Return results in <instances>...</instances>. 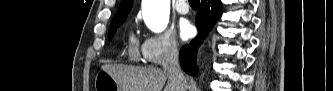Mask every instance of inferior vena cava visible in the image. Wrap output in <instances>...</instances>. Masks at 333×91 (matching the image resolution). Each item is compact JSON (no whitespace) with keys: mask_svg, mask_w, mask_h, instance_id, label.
Returning <instances> with one entry per match:
<instances>
[{"mask_svg":"<svg viewBox=\"0 0 333 91\" xmlns=\"http://www.w3.org/2000/svg\"><path fill=\"white\" fill-rule=\"evenodd\" d=\"M178 48L176 43H172L166 50L165 60L163 62V69L169 74V78L177 81L180 85V91H184L186 79L181 71L178 61Z\"/></svg>","mask_w":333,"mask_h":91,"instance_id":"1","label":"inferior vena cava"}]
</instances>
